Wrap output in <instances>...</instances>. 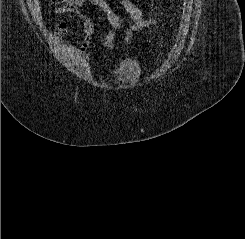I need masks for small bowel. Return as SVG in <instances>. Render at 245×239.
I'll return each instance as SVG.
<instances>
[{"label":"small bowel","instance_id":"c3829d8e","mask_svg":"<svg viewBox=\"0 0 245 239\" xmlns=\"http://www.w3.org/2000/svg\"><path fill=\"white\" fill-rule=\"evenodd\" d=\"M73 1V2H68ZM88 2L92 7L102 11L109 21L112 31L108 36L109 42L114 38V34L117 30L126 26L125 34L126 40L129 42L131 37L139 32L141 29L146 28L152 22L151 18L144 16L142 11L136 7L131 0H119L122 7L129 15V20H125L120 15L115 13L107 0H62V2L55 3L57 6L54 8L55 13H72L74 15L83 17L86 19L85 36L80 45V52L85 53L93 34V27L87 16L80 10L85 2ZM67 31V25L63 21H58L56 25L55 34L59 38ZM110 45L107 44L106 47Z\"/></svg>","mask_w":245,"mask_h":239}]
</instances>
